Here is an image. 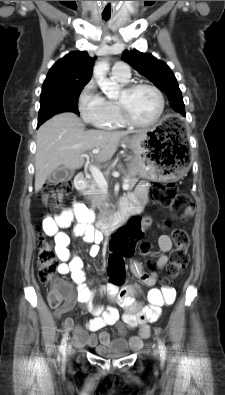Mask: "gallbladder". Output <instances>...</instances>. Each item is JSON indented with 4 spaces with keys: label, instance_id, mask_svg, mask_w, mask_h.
<instances>
[{
    "label": "gallbladder",
    "instance_id": "obj_1",
    "mask_svg": "<svg viewBox=\"0 0 225 395\" xmlns=\"http://www.w3.org/2000/svg\"><path fill=\"white\" fill-rule=\"evenodd\" d=\"M74 176V171L65 168L64 166L58 167L48 176V182L58 184L60 182L71 179Z\"/></svg>",
    "mask_w": 225,
    "mask_h": 395
}]
</instances>
